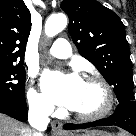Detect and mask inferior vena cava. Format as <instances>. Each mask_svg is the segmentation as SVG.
<instances>
[{"mask_svg":"<svg viewBox=\"0 0 136 136\" xmlns=\"http://www.w3.org/2000/svg\"><path fill=\"white\" fill-rule=\"evenodd\" d=\"M53 107L37 103L29 106L28 121L30 125L36 129L32 136H42V131L46 130L49 123V115L52 113Z\"/></svg>","mask_w":136,"mask_h":136,"instance_id":"obj_1","label":"inferior vena cava"}]
</instances>
